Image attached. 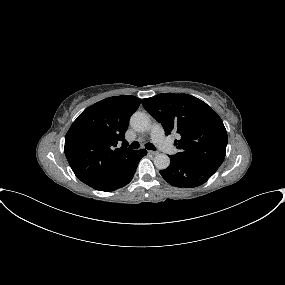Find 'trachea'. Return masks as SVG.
Returning <instances> with one entry per match:
<instances>
[{
    "label": "trachea",
    "mask_w": 285,
    "mask_h": 285,
    "mask_svg": "<svg viewBox=\"0 0 285 285\" xmlns=\"http://www.w3.org/2000/svg\"><path fill=\"white\" fill-rule=\"evenodd\" d=\"M140 147L139 143L137 141L133 142L129 148L131 149H138ZM145 148L148 149V150H156V147L152 144V143H147L145 145Z\"/></svg>",
    "instance_id": "obj_1"
}]
</instances>
